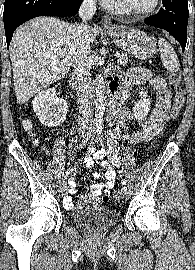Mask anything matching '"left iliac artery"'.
Returning a JSON list of instances; mask_svg holds the SVG:
<instances>
[{
    "label": "left iliac artery",
    "mask_w": 195,
    "mask_h": 270,
    "mask_svg": "<svg viewBox=\"0 0 195 270\" xmlns=\"http://www.w3.org/2000/svg\"><path fill=\"white\" fill-rule=\"evenodd\" d=\"M102 131H103L102 125L101 124L97 125V132H98L99 136H101V137L103 134ZM122 185L126 186V180L122 179Z\"/></svg>",
    "instance_id": "obj_1"
}]
</instances>
